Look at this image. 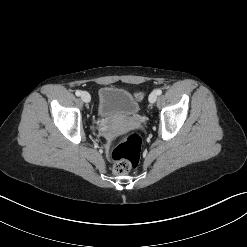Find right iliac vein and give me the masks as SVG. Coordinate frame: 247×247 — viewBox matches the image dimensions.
<instances>
[{
	"label": "right iliac vein",
	"mask_w": 247,
	"mask_h": 247,
	"mask_svg": "<svg viewBox=\"0 0 247 247\" xmlns=\"http://www.w3.org/2000/svg\"><path fill=\"white\" fill-rule=\"evenodd\" d=\"M81 99H82L83 102L89 103L90 100H91V96H90V94H89L88 92L83 91V92L81 93Z\"/></svg>",
	"instance_id": "63e3f726"
}]
</instances>
